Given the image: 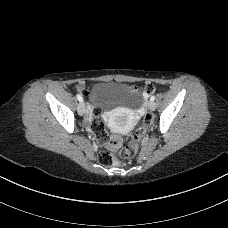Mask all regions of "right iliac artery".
Segmentation results:
<instances>
[{
	"instance_id": "obj_1",
	"label": "right iliac artery",
	"mask_w": 228,
	"mask_h": 228,
	"mask_svg": "<svg viewBox=\"0 0 228 228\" xmlns=\"http://www.w3.org/2000/svg\"><path fill=\"white\" fill-rule=\"evenodd\" d=\"M77 99L81 102L83 100L82 96L80 94L76 95Z\"/></svg>"
}]
</instances>
